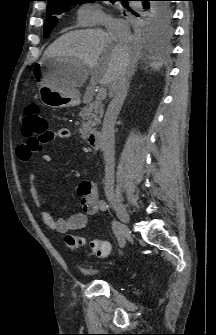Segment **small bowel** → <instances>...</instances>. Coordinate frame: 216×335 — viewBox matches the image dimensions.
Segmentation results:
<instances>
[{
    "label": "small bowel",
    "instance_id": "1",
    "mask_svg": "<svg viewBox=\"0 0 216 335\" xmlns=\"http://www.w3.org/2000/svg\"><path fill=\"white\" fill-rule=\"evenodd\" d=\"M70 137L71 132L67 128H61L56 132H51L45 143L54 139H69ZM32 153L33 151L28 144H22L18 146V157L24 162H27L31 159ZM42 158L45 162H50L52 160V157L49 154H44ZM27 183L30 196L35 206L40 210L41 220L50 229L55 230L58 233L66 234L72 230H80L85 228L88 224V218L90 216L96 215L99 211V192L95 184L90 180L83 181L78 188V194L81 198L80 204L83 212L60 218H54L50 212L42 209L44 200L38 188L37 174L34 171L28 172ZM103 242L109 247L111 252V244L107 241Z\"/></svg>",
    "mask_w": 216,
    "mask_h": 335
}]
</instances>
